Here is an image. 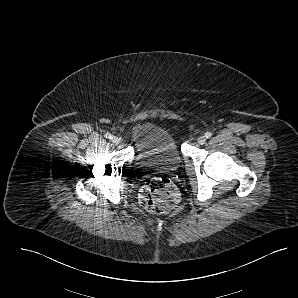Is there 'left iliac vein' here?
<instances>
[{"label": "left iliac vein", "mask_w": 298, "mask_h": 298, "mask_svg": "<svg viewBox=\"0 0 298 298\" xmlns=\"http://www.w3.org/2000/svg\"><path fill=\"white\" fill-rule=\"evenodd\" d=\"M197 142L199 144H204L206 142V137L205 136H200L198 139H197Z\"/></svg>", "instance_id": "obj_1"}]
</instances>
